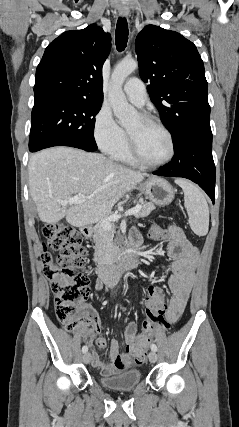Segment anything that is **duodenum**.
I'll use <instances>...</instances> for the list:
<instances>
[{
	"label": "duodenum",
	"mask_w": 239,
	"mask_h": 427,
	"mask_svg": "<svg viewBox=\"0 0 239 427\" xmlns=\"http://www.w3.org/2000/svg\"><path fill=\"white\" fill-rule=\"evenodd\" d=\"M82 232L86 237L91 235L89 227H83ZM140 246L133 244L124 254L114 262H106L102 258H95V272L104 282H115L121 275L134 268L139 261Z\"/></svg>",
	"instance_id": "obj_1"
}]
</instances>
